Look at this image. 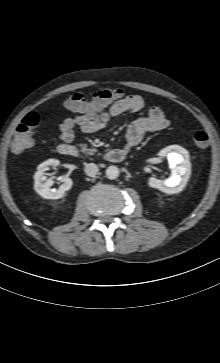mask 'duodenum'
Returning a JSON list of instances; mask_svg holds the SVG:
<instances>
[{"mask_svg":"<svg viewBox=\"0 0 220 363\" xmlns=\"http://www.w3.org/2000/svg\"><path fill=\"white\" fill-rule=\"evenodd\" d=\"M58 153L62 156L79 158L82 156V152L79 148L70 144H60L58 146ZM127 156V150L121 149H110L106 153V160L110 163H119L123 161Z\"/></svg>","mask_w":220,"mask_h":363,"instance_id":"duodenum-1","label":"duodenum"}]
</instances>
